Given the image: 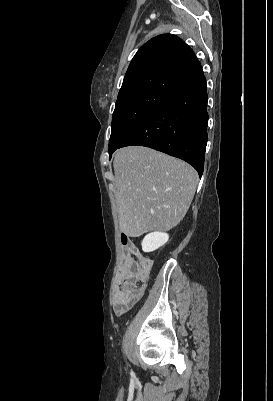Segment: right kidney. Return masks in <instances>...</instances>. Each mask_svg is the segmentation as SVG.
I'll return each instance as SVG.
<instances>
[{
    "label": "right kidney",
    "instance_id": "ca27d5eb",
    "mask_svg": "<svg viewBox=\"0 0 273 401\" xmlns=\"http://www.w3.org/2000/svg\"><path fill=\"white\" fill-rule=\"evenodd\" d=\"M169 235L167 233H149L144 237L141 245L142 251L144 253H151V251H156L159 247H163L167 243Z\"/></svg>",
    "mask_w": 273,
    "mask_h": 401
}]
</instances>
